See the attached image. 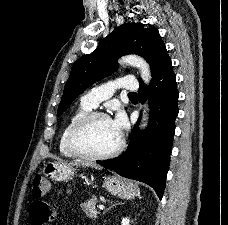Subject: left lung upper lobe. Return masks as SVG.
Masks as SVG:
<instances>
[{
	"label": "left lung upper lobe",
	"instance_id": "5c2ea615",
	"mask_svg": "<svg viewBox=\"0 0 228 225\" xmlns=\"http://www.w3.org/2000/svg\"><path fill=\"white\" fill-rule=\"evenodd\" d=\"M142 23H125L103 38L90 54L73 65L57 115H61L87 87L114 72L117 59L126 54H137L146 59L152 74L167 57L165 45L156 28H145Z\"/></svg>",
	"mask_w": 228,
	"mask_h": 225
}]
</instances>
